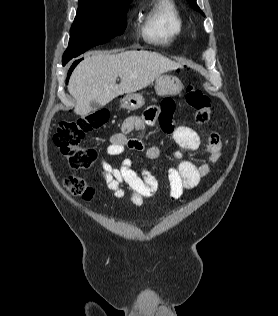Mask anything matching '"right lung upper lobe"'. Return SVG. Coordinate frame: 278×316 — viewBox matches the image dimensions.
I'll list each match as a JSON object with an SVG mask.
<instances>
[{"instance_id": "1", "label": "right lung upper lobe", "mask_w": 278, "mask_h": 316, "mask_svg": "<svg viewBox=\"0 0 278 316\" xmlns=\"http://www.w3.org/2000/svg\"><path fill=\"white\" fill-rule=\"evenodd\" d=\"M120 1H131V0H79V2H97V3H115Z\"/></svg>"}]
</instances>
